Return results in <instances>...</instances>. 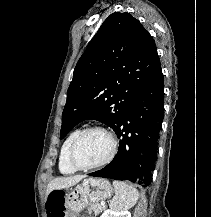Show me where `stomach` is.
Instances as JSON below:
<instances>
[{"instance_id":"stomach-1","label":"stomach","mask_w":211,"mask_h":217,"mask_svg":"<svg viewBox=\"0 0 211 217\" xmlns=\"http://www.w3.org/2000/svg\"><path fill=\"white\" fill-rule=\"evenodd\" d=\"M112 186L104 178H88L74 188H67L65 217H76L87 205L111 196Z\"/></svg>"}]
</instances>
